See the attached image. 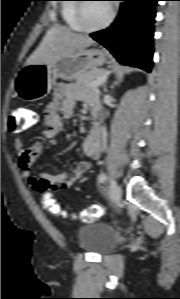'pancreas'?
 <instances>
[{
    "instance_id": "1",
    "label": "pancreas",
    "mask_w": 180,
    "mask_h": 299,
    "mask_svg": "<svg viewBox=\"0 0 180 299\" xmlns=\"http://www.w3.org/2000/svg\"><path fill=\"white\" fill-rule=\"evenodd\" d=\"M106 70L104 69H94L83 73L76 78L77 85L82 87L92 89V83L100 76L104 75Z\"/></svg>"
}]
</instances>
